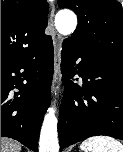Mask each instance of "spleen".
I'll return each instance as SVG.
<instances>
[{"mask_svg": "<svg viewBox=\"0 0 123 152\" xmlns=\"http://www.w3.org/2000/svg\"><path fill=\"white\" fill-rule=\"evenodd\" d=\"M80 149L84 152H123V145L108 136H95L84 140Z\"/></svg>", "mask_w": 123, "mask_h": 152, "instance_id": "1", "label": "spleen"}]
</instances>
